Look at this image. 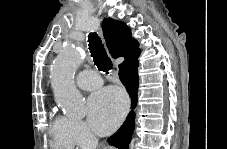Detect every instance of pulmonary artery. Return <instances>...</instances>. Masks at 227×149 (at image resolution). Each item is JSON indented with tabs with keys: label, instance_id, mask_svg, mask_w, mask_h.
Instances as JSON below:
<instances>
[{
	"label": "pulmonary artery",
	"instance_id": "pulmonary-artery-1",
	"mask_svg": "<svg viewBox=\"0 0 227 149\" xmlns=\"http://www.w3.org/2000/svg\"><path fill=\"white\" fill-rule=\"evenodd\" d=\"M76 84L83 90H94L101 86L102 80L95 71L83 70L77 74Z\"/></svg>",
	"mask_w": 227,
	"mask_h": 149
}]
</instances>
